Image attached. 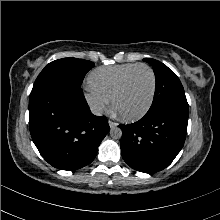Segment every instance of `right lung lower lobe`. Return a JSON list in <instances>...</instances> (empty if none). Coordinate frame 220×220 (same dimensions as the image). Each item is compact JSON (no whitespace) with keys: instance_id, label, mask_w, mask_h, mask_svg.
<instances>
[{"instance_id":"1","label":"right lung lower lobe","mask_w":220,"mask_h":220,"mask_svg":"<svg viewBox=\"0 0 220 220\" xmlns=\"http://www.w3.org/2000/svg\"><path fill=\"white\" fill-rule=\"evenodd\" d=\"M30 133L43 158L60 170L90 164L109 132L108 120L90 112L81 88L47 84L29 97Z\"/></svg>"}]
</instances>
